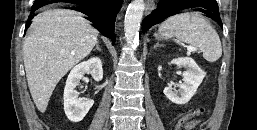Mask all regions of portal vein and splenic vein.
<instances>
[{
    "label": "portal vein and splenic vein",
    "mask_w": 257,
    "mask_h": 130,
    "mask_svg": "<svg viewBox=\"0 0 257 130\" xmlns=\"http://www.w3.org/2000/svg\"><path fill=\"white\" fill-rule=\"evenodd\" d=\"M189 50H190V51H192L193 49H192V48H190Z\"/></svg>",
    "instance_id": "portal-vein-and-splenic-vein-1"
}]
</instances>
